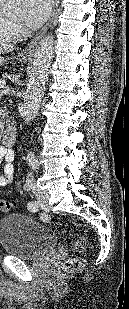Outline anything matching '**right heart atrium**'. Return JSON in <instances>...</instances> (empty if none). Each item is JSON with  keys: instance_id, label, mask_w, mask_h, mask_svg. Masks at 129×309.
Returning a JSON list of instances; mask_svg holds the SVG:
<instances>
[{"instance_id": "obj_1", "label": "right heart atrium", "mask_w": 129, "mask_h": 309, "mask_svg": "<svg viewBox=\"0 0 129 309\" xmlns=\"http://www.w3.org/2000/svg\"><path fill=\"white\" fill-rule=\"evenodd\" d=\"M14 30L17 36H19L23 32L22 28L19 25H14Z\"/></svg>"}]
</instances>
